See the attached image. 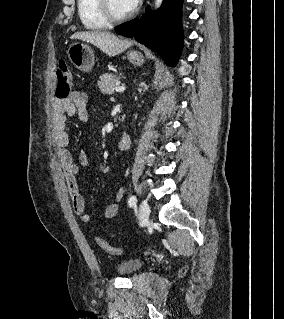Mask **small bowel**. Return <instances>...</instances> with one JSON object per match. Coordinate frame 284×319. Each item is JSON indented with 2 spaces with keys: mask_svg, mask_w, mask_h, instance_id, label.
I'll use <instances>...</instances> for the list:
<instances>
[{
  "mask_svg": "<svg viewBox=\"0 0 284 319\" xmlns=\"http://www.w3.org/2000/svg\"><path fill=\"white\" fill-rule=\"evenodd\" d=\"M68 117H76L80 121H87L88 96L86 93L73 91L67 99H55L52 106V125L54 142L58 149L61 168L71 196L72 208L83 223H89L91 222V217L86 212L85 200L77 182L79 169L67 148L69 144V135L66 129ZM78 162L83 167L89 165V157L85 151L79 152ZM123 196L124 189L119 188L115 194L116 202L109 204L103 216L98 218V220L106 221L114 218L119 211L118 202Z\"/></svg>",
  "mask_w": 284,
  "mask_h": 319,
  "instance_id": "1",
  "label": "small bowel"
}]
</instances>
